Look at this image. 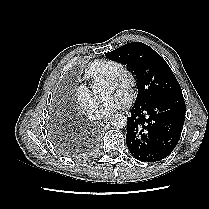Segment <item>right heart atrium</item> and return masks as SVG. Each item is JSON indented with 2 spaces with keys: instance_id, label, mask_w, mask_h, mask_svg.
Wrapping results in <instances>:
<instances>
[{
  "instance_id": "obj_1",
  "label": "right heart atrium",
  "mask_w": 209,
  "mask_h": 209,
  "mask_svg": "<svg viewBox=\"0 0 209 209\" xmlns=\"http://www.w3.org/2000/svg\"><path fill=\"white\" fill-rule=\"evenodd\" d=\"M74 101L78 108L90 118H96L99 115V106L97 100L93 97L91 91L80 86L74 94Z\"/></svg>"
}]
</instances>
